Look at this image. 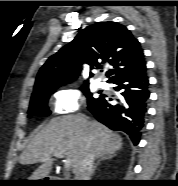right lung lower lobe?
Listing matches in <instances>:
<instances>
[{
  "mask_svg": "<svg viewBox=\"0 0 178 186\" xmlns=\"http://www.w3.org/2000/svg\"><path fill=\"white\" fill-rule=\"evenodd\" d=\"M108 82L116 84L114 89L120 91L117 104H109L113 99L101 95L88 105V110L110 129L127 133L134 145H137L150 95L146 61L125 69Z\"/></svg>",
  "mask_w": 178,
  "mask_h": 186,
  "instance_id": "obj_1",
  "label": "right lung lower lobe"
}]
</instances>
